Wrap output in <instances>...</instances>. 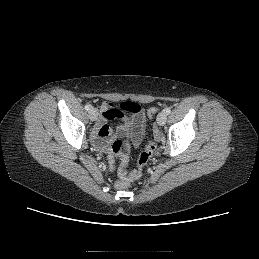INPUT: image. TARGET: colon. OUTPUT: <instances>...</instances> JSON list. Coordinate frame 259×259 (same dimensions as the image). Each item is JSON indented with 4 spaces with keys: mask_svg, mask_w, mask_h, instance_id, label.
Here are the masks:
<instances>
[{
    "mask_svg": "<svg viewBox=\"0 0 259 259\" xmlns=\"http://www.w3.org/2000/svg\"><path fill=\"white\" fill-rule=\"evenodd\" d=\"M119 108L121 110L135 113L139 110V106L137 103L134 102H123L119 105ZM156 108H150L148 109V117L153 118L157 113ZM156 150V146L153 142L148 141L145 145L144 150L140 154L138 158V167L136 170L132 172H128L127 170V164H128V155H129V149L125 142L122 140H117L112 145V151L114 155L120 156L121 162L119 167V175L120 178L115 182V186L118 189H127L130 185V180L138 179L142 176L144 168L148 165L150 160L152 159L154 153ZM114 157L111 158V164L114 165Z\"/></svg>",
    "mask_w": 259,
    "mask_h": 259,
    "instance_id": "5ec220e1",
    "label": "colon"
}]
</instances>
